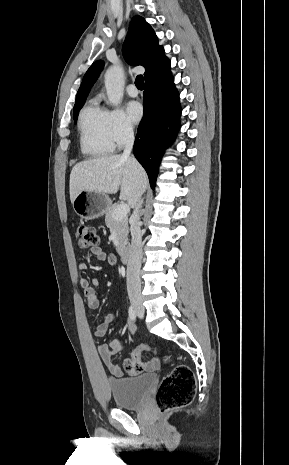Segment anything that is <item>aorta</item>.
I'll return each instance as SVG.
<instances>
[{"label":"aorta","mask_w":289,"mask_h":465,"mask_svg":"<svg viewBox=\"0 0 289 465\" xmlns=\"http://www.w3.org/2000/svg\"><path fill=\"white\" fill-rule=\"evenodd\" d=\"M104 78L108 101L117 106L123 97L124 89V78L121 67L116 65L109 67Z\"/></svg>","instance_id":"762f6f07"}]
</instances>
